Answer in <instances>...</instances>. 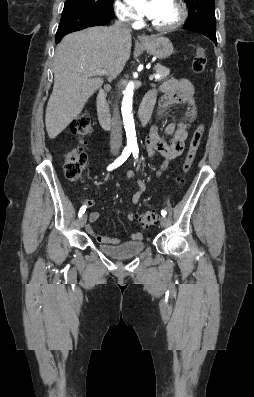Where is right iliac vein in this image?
<instances>
[{
  "mask_svg": "<svg viewBox=\"0 0 254 397\" xmlns=\"http://www.w3.org/2000/svg\"><path fill=\"white\" fill-rule=\"evenodd\" d=\"M86 221H87V215L84 214V215L81 216V218L79 220L80 227H83L86 224Z\"/></svg>",
  "mask_w": 254,
  "mask_h": 397,
  "instance_id": "obj_1",
  "label": "right iliac vein"
}]
</instances>
